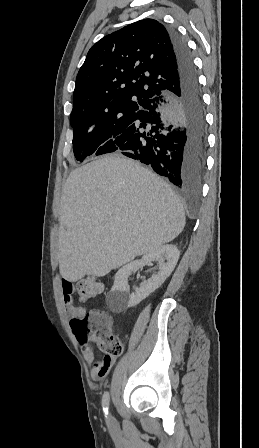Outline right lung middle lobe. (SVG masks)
<instances>
[{"mask_svg": "<svg viewBox=\"0 0 259 448\" xmlns=\"http://www.w3.org/2000/svg\"><path fill=\"white\" fill-rule=\"evenodd\" d=\"M142 105H132L104 112H81L70 116L73 128V151L82 162L87 156L113 151L115 139L133 122Z\"/></svg>", "mask_w": 259, "mask_h": 448, "instance_id": "dd1d6c3e", "label": "right lung middle lobe"}]
</instances>
